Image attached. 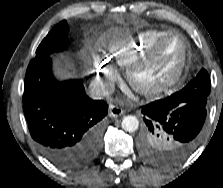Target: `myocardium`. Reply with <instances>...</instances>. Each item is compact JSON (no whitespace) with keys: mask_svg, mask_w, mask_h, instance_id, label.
Segmentation results:
<instances>
[{"mask_svg":"<svg viewBox=\"0 0 223 188\" xmlns=\"http://www.w3.org/2000/svg\"><path fill=\"white\" fill-rule=\"evenodd\" d=\"M171 37H178L182 43V55L176 69L168 76L156 83L145 84L140 80V75L154 62L161 58L162 49ZM189 45L186 38L179 32L170 31L162 36L145 54L131 64L127 69V79L131 87L137 92L153 97L176 86L182 79L188 62Z\"/></svg>","mask_w":223,"mask_h":188,"instance_id":"myocardium-1","label":"myocardium"}]
</instances>
